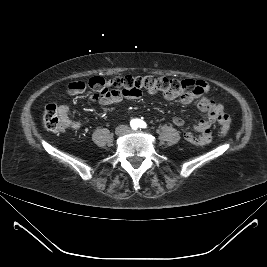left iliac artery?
Here are the masks:
<instances>
[{"label":"left iliac artery","instance_id":"1","mask_svg":"<svg viewBox=\"0 0 267 267\" xmlns=\"http://www.w3.org/2000/svg\"><path fill=\"white\" fill-rule=\"evenodd\" d=\"M136 123L140 128H146L147 126L146 123L142 120H136Z\"/></svg>","mask_w":267,"mask_h":267}]
</instances>
